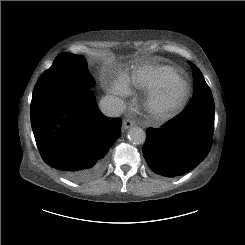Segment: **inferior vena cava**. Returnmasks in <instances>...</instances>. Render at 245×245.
Masks as SVG:
<instances>
[{"label": "inferior vena cava", "mask_w": 245, "mask_h": 245, "mask_svg": "<svg viewBox=\"0 0 245 245\" xmlns=\"http://www.w3.org/2000/svg\"><path fill=\"white\" fill-rule=\"evenodd\" d=\"M100 109L108 117H118L125 110V104L123 100L115 96H105L99 103Z\"/></svg>", "instance_id": "inferior-vena-cava-1"}]
</instances>
